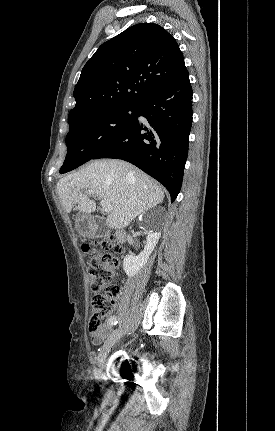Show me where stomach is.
<instances>
[{
	"label": "stomach",
	"mask_w": 275,
	"mask_h": 431,
	"mask_svg": "<svg viewBox=\"0 0 275 431\" xmlns=\"http://www.w3.org/2000/svg\"><path fill=\"white\" fill-rule=\"evenodd\" d=\"M75 227L77 232L83 237H90L95 234L94 226L87 215L79 214L76 217Z\"/></svg>",
	"instance_id": "1"
}]
</instances>
